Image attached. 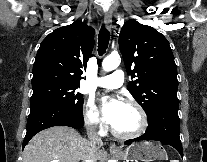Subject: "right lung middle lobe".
<instances>
[{
  "label": "right lung middle lobe",
  "instance_id": "right-lung-middle-lobe-1",
  "mask_svg": "<svg viewBox=\"0 0 207 162\" xmlns=\"http://www.w3.org/2000/svg\"><path fill=\"white\" fill-rule=\"evenodd\" d=\"M78 86L46 84L33 87L31 106L37 103H55L70 110L82 113L83 98L77 92Z\"/></svg>",
  "mask_w": 207,
  "mask_h": 162
}]
</instances>
